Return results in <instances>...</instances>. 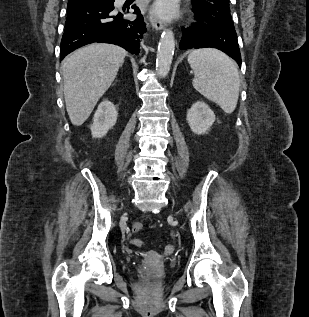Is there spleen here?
Listing matches in <instances>:
<instances>
[{"label":"spleen","mask_w":309,"mask_h":317,"mask_svg":"<svg viewBox=\"0 0 309 317\" xmlns=\"http://www.w3.org/2000/svg\"><path fill=\"white\" fill-rule=\"evenodd\" d=\"M194 72L193 87L217 103L225 113H232L238 102L240 78L236 64L217 49H196L188 55Z\"/></svg>","instance_id":"1"}]
</instances>
